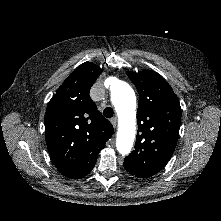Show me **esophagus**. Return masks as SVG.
<instances>
[{
  "instance_id": "1",
  "label": "esophagus",
  "mask_w": 221,
  "mask_h": 221,
  "mask_svg": "<svg viewBox=\"0 0 221 221\" xmlns=\"http://www.w3.org/2000/svg\"><path fill=\"white\" fill-rule=\"evenodd\" d=\"M110 122L113 125V127H116V125H117V118L116 117L111 118Z\"/></svg>"
}]
</instances>
